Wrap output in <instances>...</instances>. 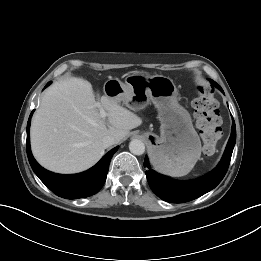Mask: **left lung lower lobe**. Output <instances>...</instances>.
Returning a JSON list of instances; mask_svg holds the SVG:
<instances>
[{"label": "left lung lower lobe", "instance_id": "obj_1", "mask_svg": "<svg viewBox=\"0 0 261 261\" xmlns=\"http://www.w3.org/2000/svg\"><path fill=\"white\" fill-rule=\"evenodd\" d=\"M211 82L221 89L217 83L212 80ZM235 142L236 126L233 120L231 136L220 163L208 174L189 181L172 180L155 172L150 168L148 159L145 158L144 166L148 168L146 176L149 186L158 197L170 203H184L204 195L215 188L225 176L229 167Z\"/></svg>", "mask_w": 261, "mask_h": 261}]
</instances>
